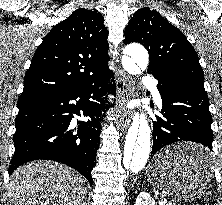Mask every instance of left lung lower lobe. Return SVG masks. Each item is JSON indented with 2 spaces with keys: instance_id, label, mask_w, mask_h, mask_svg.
Listing matches in <instances>:
<instances>
[{
  "instance_id": "obj_1",
  "label": "left lung lower lobe",
  "mask_w": 222,
  "mask_h": 205,
  "mask_svg": "<svg viewBox=\"0 0 222 205\" xmlns=\"http://www.w3.org/2000/svg\"><path fill=\"white\" fill-rule=\"evenodd\" d=\"M157 80L161 95L163 117L153 122V146L151 158L161 148L180 141H193L207 147L204 151L186 153L181 163L210 164L213 132L209 99L204 86L176 73L149 72Z\"/></svg>"
}]
</instances>
